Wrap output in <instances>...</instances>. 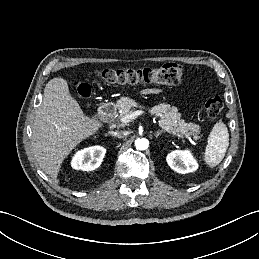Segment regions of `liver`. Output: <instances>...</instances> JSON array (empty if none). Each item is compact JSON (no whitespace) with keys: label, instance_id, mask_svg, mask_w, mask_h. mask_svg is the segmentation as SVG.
Listing matches in <instances>:
<instances>
[{"label":"liver","instance_id":"obj_1","mask_svg":"<svg viewBox=\"0 0 259 259\" xmlns=\"http://www.w3.org/2000/svg\"><path fill=\"white\" fill-rule=\"evenodd\" d=\"M100 127L98 120L83 113L65 79H51L45 86L32 126L33 154L40 168L58 182L61 164L70 151Z\"/></svg>","mask_w":259,"mask_h":259}]
</instances>
